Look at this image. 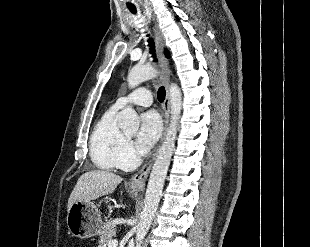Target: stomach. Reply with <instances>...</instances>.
I'll return each mask as SVG.
<instances>
[{"mask_svg": "<svg viewBox=\"0 0 310 247\" xmlns=\"http://www.w3.org/2000/svg\"><path fill=\"white\" fill-rule=\"evenodd\" d=\"M130 194L132 197L137 196L134 191H130ZM66 223L69 233L81 239L96 236L103 228L100 211L91 201L73 203L68 210Z\"/></svg>", "mask_w": 310, "mask_h": 247, "instance_id": "stomach-1", "label": "stomach"}]
</instances>
